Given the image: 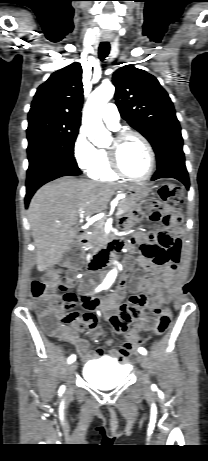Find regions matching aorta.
Instances as JSON below:
<instances>
[{
	"label": "aorta",
	"mask_w": 208,
	"mask_h": 461,
	"mask_svg": "<svg viewBox=\"0 0 208 461\" xmlns=\"http://www.w3.org/2000/svg\"><path fill=\"white\" fill-rule=\"evenodd\" d=\"M115 88L112 84H102L88 98L83 113V128L86 135L99 148H105L110 141V134L103 125L101 113L103 107L112 99ZM119 268V263L114 262ZM117 268L112 269L106 280L113 282L117 277Z\"/></svg>",
	"instance_id": "1"
}]
</instances>
